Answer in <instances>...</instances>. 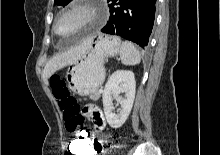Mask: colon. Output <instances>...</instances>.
I'll return each instance as SVG.
<instances>
[{
	"label": "colon",
	"instance_id": "1",
	"mask_svg": "<svg viewBox=\"0 0 220 155\" xmlns=\"http://www.w3.org/2000/svg\"><path fill=\"white\" fill-rule=\"evenodd\" d=\"M50 87L54 98L63 112L65 127L69 132H75L69 139L66 151L68 155H91V147L95 152L105 153V149H115V144H104L102 139L95 138L92 144L90 125L84 123L85 113L81 112L76 99L71 95L65 80L60 75L50 78Z\"/></svg>",
	"mask_w": 220,
	"mask_h": 155
}]
</instances>
